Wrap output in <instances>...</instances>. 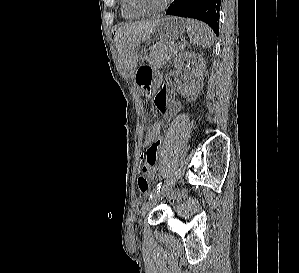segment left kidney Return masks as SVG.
<instances>
[{"label":"left kidney","mask_w":299,"mask_h":273,"mask_svg":"<svg viewBox=\"0 0 299 273\" xmlns=\"http://www.w3.org/2000/svg\"><path fill=\"white\" fill-rule=\"evenodd\" d=\"M190 59L196 65V68L192 70L190 75V77H192L193 79H191L190 83L179 84L177 88L182 95L186 96H193L198 94L203 87L204 80L203 72L205 68V61L201 55L192 53L190 51L182 52L174 61L175 67L180 69L183 66L184 61Z\"/></svg>","instance_id":"1"}]
</instances>
